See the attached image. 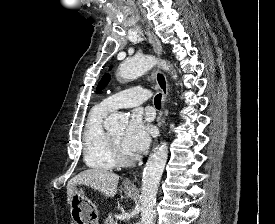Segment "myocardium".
I'll return each instance as SVG.
<instances>
[{
  "mask_svg": "<svg viewBox=\"0 0 275 224\" xmlns=\"http://www.w3.org/2000/svg\"><path fill=\"white\" fill-rule=\"evenodd\" d=\"M107 145L110 150L113 161L119 166H129L136 161V157L133 155L125 156L119 146L114 142L109 132L106 133Z\"/></svg>",
  "mask_w": 275,
  "mask_h": 224,
  "instance_id": "f54148a6",
  "label": "myocardium"
}]
</instances>
